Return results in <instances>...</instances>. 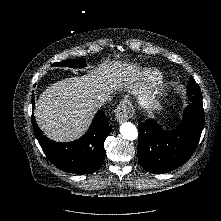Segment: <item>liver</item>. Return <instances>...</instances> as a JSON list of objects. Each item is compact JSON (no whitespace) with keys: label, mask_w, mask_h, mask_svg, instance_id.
<instances>
[{"label":"liver","mask_w":221,"mask_h":221,"mask_svg":"<svg viewBox=\"0 0 221 221\" xmlns=\"http://www.w3.org/2000/svg\"><path fill=\"white\" fill-rule=\"evenodd\" d=\"M136 71L134 65L126 62H105L86 75L51 84L35 105L38 126L52 140L77 139L87 130L99 108L98 95L109 97L128 86Z\"/></svg>","instance_id":"liver-1"}]
</instances>
